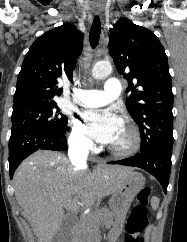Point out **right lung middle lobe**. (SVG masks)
<instances>
[{"label":"right lung middle lobe","instance_id":"1","mask_svg":"<svg viewBox=\"0 0 187 242\" xmlns=\"http://www.w3.org/2000/svg\"><path fill=\"white\" fill-rule=\"evenodd\" d=\"M68 118L60 113L56 102H34L13 106L12 129L46 130L65 133Z\"/></svg>","mask_w":187,"mask_h":242}]
</instances>
